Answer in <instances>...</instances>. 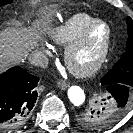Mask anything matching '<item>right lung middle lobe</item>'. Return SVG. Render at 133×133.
I'll use <instances>...</instances> for the list:
<instances>
[{"label":"right lung middle lobe","instance_id":"obj_1","mask_svg":"<svg viewBox=\"0 0 133 133\" xmlns=\"http://www.w3.org/2000/svg\"><path fill=\"white\" fill-rule=\"evenodd\" d=\"M11 2H12V0H0V7L3 5L9 4Z\"/></svg>","mask_w":133,"mask_h":133}]
</instances>
